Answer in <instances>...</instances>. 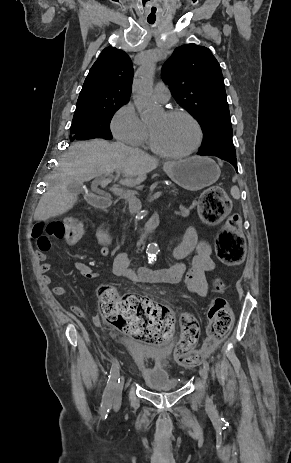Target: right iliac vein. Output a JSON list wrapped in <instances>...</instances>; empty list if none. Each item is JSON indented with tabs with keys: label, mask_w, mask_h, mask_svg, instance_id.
Segmentation results:
<instances>
[{
	"label": "right iliac vein",
	"mask_w": 291,
	"mask_h": 463,
	"mask_svg": "<svg viewBox=\"0 0 291 463\" xmlns=\"http://www.w3.org/2000/svg\"><path fill=\"white\" fill-rule=\"evenodd\" d=\"M120 381L119 383L116 384L114 388V403L113 406L115 409L119 408L120 403H121V397H122V390H123V385H124V376H120Z\"/></svg>",
	"instance_id": "1"
}]
</instances>
